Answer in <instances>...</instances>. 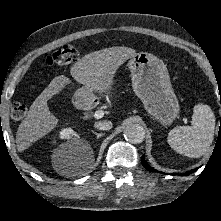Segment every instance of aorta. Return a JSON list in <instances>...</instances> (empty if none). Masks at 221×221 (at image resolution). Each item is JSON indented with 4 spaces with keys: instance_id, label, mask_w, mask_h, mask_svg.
Returning a JSON list of instances; mask_svg holds the SVG:
<instances>
[{
    "instance_id": "762f6f07",
    "label": "aorta",
    "mask_w": 221,
    "mask_h": 221,
    "mask_svg": "<svg viewBox=\"0 0 221 221\" xmlns=\"http://www.w3.org/2000/svg\"><path fill=\"white\" fill-rule=\"evenodd\" d=\"M124 138L133 144H138L143 142L145 138V130L139 124L130 123L123 131Z\"/></svg>"
}]
</instances>
